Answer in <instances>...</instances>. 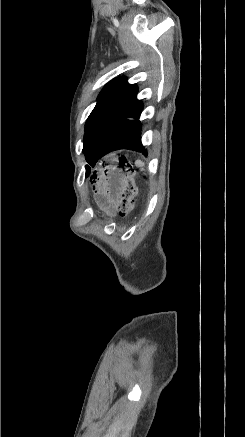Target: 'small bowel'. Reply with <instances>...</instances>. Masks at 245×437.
<instances>
[{"label":"small bowel","mask_w":245,"mask_h":437,"mask_svg":"<svg viewBox=\"0 0 245 437\" xmlns=\"http://www.w3.org/2000/svg\"><path fill=\"white\" fill-rule=\"evenodd\" d=\"M111 169V162L109 159H102L101 162H99L98 166H94L92 171L89 173L90 180H106V177ZM94 190L97 188L95 185L92 187ZM118 188L116 185H112L109 188L108 196H109V203L111 205L114 204V195L116 194Z\"/></svg>","instance_id":"obj_1"}]
</instances>
